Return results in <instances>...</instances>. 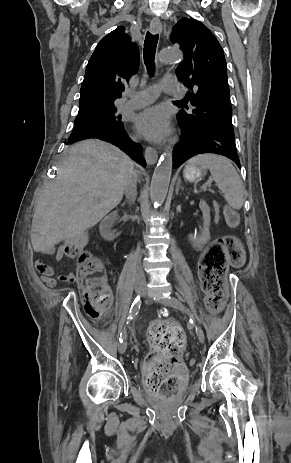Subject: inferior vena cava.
<instances>
[{"label":"inferior vena cava","instance_id":"inferior-vena-cava-1","mask_svg":"<svg viewBox=\"0 0 291 463\" xmlns=\"http://www.w3.org/2000/svg\"><path fill=\"white\" fill-rule=\"evenodd\" d=\"M136 185H137V175L136 172L134 171L131 178L127 182L125 194L128 199H130L132 202L135 200L136 196ZM143 272L140 273V276H143Z\"/></svg>","mask_w":291,"mask_h":463}]
</instances>
